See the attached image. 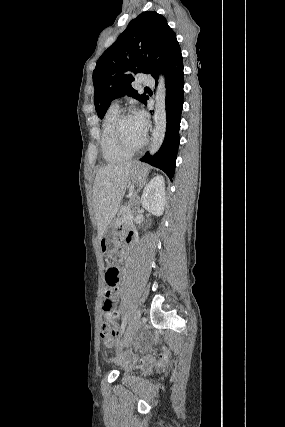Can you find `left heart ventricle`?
Instances as JSON below:
<instances>
[{"mask_svg": "<svg viewBox=\"0 0 285 427\" xmlns=\"http://www.w3.org/2000/svg\"><path fill=\"white\" fill-rule=\"evenodd\" d=\"M122 131L126 141L131 145H137L145 138L134 116L123 122Z\"/></svg>", "mask_w": 285, "mask_h": 427, "instance_id": "b2bd125f", "label": "left heart ventricle"}]
</instances>
